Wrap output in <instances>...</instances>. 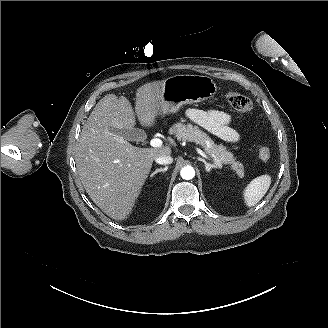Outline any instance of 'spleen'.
<instances>
[{
    "label": "spleen",
    "mask_w": 328,
    "mask_h": 328,
    "mask_svg": "<svg viewBox=\"0 0 328 328\" xmlns=\"http://www.w3.org/2000/svg\"><path fill=\"white\" fill-rule=\"evenodd\" d=\"M271 184L269 175H261L253 179L244 189L243 195L248 207L255 206L266 194Z\"/></svg>",
    "instance_id": "obj_1"
}]
</instances>
